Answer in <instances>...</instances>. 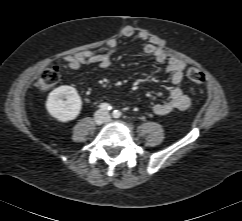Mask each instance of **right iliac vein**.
Listing matches in <instances>:
<instances>
[{
    "label": "right iliac vein",
    "instance_id": "right-iliac-vein-1",
    "mask_svg": "<svg viewBox=\"0 0 242 221\" xmlns=\"http://www.w3.org/2000/svg\"><path fill=\"white\" fill-rule=\"evenodd\" d=\"M94 120L96 124H101L104 120V113L99 111L95 114Z\"/></svg>",
    "mask_w": 242,
    "mask_h": 221
}]
</instances>
